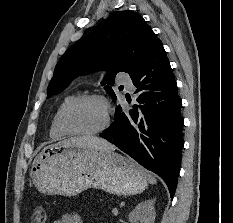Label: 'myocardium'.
<instances>
[{
    "label": "myocardium",
    "instance_id": "1",
    "mask_svg": "<svg viewBox=\"0 0 233 223\" xmlns=\"http://www.w3.org/2000/svg\"><path fill=\"white\" fill-rule=\"evenodd\" d=\"M90 100H99L104 104L106 110V121L104 125L97 131L94 132H78L71 128L68 122V116L70 111L79 103L90 101ZM111 125V115L108 111L107 101L104 96L99 94H85L79 95L72 100H70L61 110L59 115V126L60 128L67 133L68 135L77 136V137H94L103 134L108 130Z\"/></svg>",
    "mask_w": 233,
    "mask_h": 223
}]
</instances>
